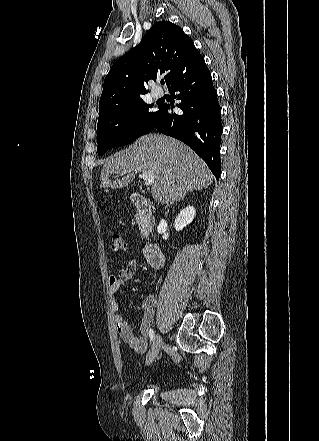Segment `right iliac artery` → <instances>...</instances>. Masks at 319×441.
I'll return each instance as SVG.
<instances>
[{"instance_id": "1", "label": "right iliac artery", "mask_w": 319, "mask_h": 441, "mask_svg": "<svg viewBox=\"0 0 319 441\" xmlns=\"http://www.w3.org/2000/svg\"><path fill=\"white\" fill-rule=\"evenodd\" d=\"M149 337H150L151 341H153L155 339V334H154V331L152 329L149 330Z\"/></svg>"}]
</instances>
